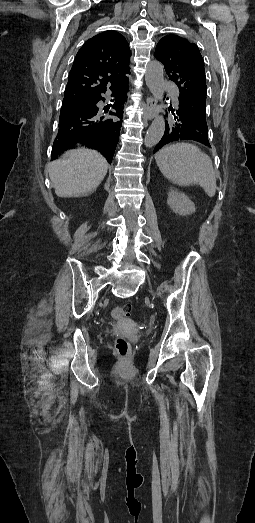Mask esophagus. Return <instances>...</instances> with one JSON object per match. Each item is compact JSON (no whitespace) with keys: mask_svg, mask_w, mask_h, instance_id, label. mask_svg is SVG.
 I'll return each instance as SVG.
<instances>
[{"mask_svg":"<svg viewBox=\"0 0 255 523\" xmlns=\"http://www.w3.org/2000/svg\"><path fill=\"white\" fill-rule=\"evenodd\" d=\"M156 105H157V102L154 98H152V97L147 98L146 106H145V116L148 120H152L156 116V114H157Z\"/></svg>","mask_w":255,"mask_h":523,"instance_id":"34e87169","label":"esophagus"}]
</instances>
